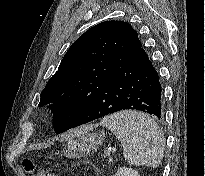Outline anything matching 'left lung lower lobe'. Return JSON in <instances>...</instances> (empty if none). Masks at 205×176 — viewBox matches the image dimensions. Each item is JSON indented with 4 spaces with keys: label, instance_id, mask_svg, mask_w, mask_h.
<instances>
[{
    "label": "left lung lower lobe",
    "instance_id": "1",
    "mask_svg": "<svg viewBox=\"0 0 205 176\" xmlns=\"http://www.w3.org/2000/svg\"><path fill=\"white\" fill-rule=\"evenodd\" d=\"M159 76L146 52L140 48L98 91L95 101L72 127L126 109L147 112L162 118Z\"/></svg>",
    "mask_w": 205,
    "mask_h": 176
}]
</instances>
